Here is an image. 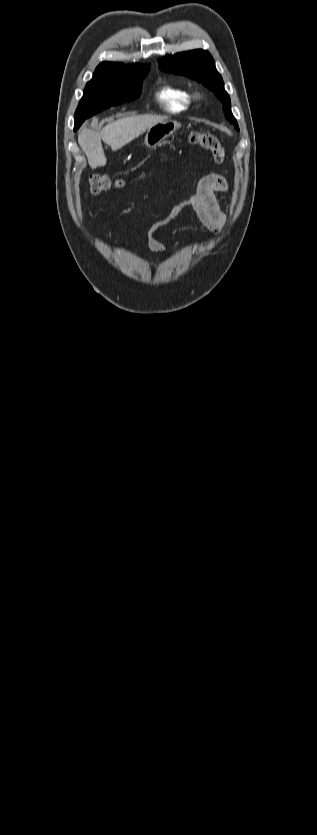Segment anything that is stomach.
<instances>
[{"label": "stomach", "mask_w": 317, "mask_h": 835, "mask_svg": "<svg viewBox=\"0 0 317 835\" xmlns=\"http://www.w3.org/2000/svg\"><path fill=\"white\" fill-rule=\"evenodd\" d=\"M181 127V123L175 120H164L147 130L145 145L148 148H156L162 141L171 136Z\"/></svg>", "instance_id": "1"}]
</instances>
